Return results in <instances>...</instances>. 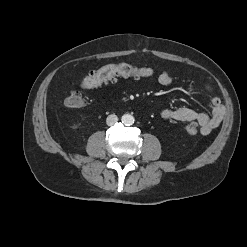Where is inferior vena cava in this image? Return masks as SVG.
I'll return each instance as SVG.
<instances>
[{"mask_svg":"<svg viewBox=\"0 0 247 247\" xmlns=\"http://www.w3.org/2000/svg\"><path fill=\"white\" fill-rule=\"evenodd\" d=\"M118 121V117L115 114H111L107 117L106 123L108 126L114 125Z\"/></svg>","mask_w":247,"mask_h":247,"instance_id":"602c4592","label":"inferior vena cava"}]
</instances>
